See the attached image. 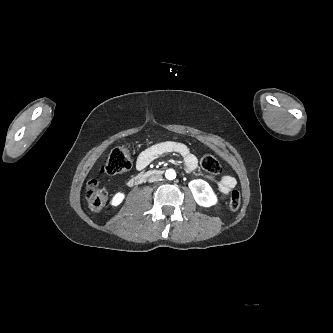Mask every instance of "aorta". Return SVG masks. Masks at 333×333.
Here are the masks:
<instances>
[{
	"label": "aorta",
	"instance_id": "762f6f07",
	"mask_svg": "<svg viewBox=\"0 0 333 333\" xmlns=\"http://www.w3.org/2000/svg\"><path fill=\"white\" fill-rule=\"evenodd\" d=\"M165 176L168 180H173L176 178V172L173 169H168L165 173Z\"/></svg>",
	"mask_w": 333,
	"mask_h": 333
}]
</instances>
